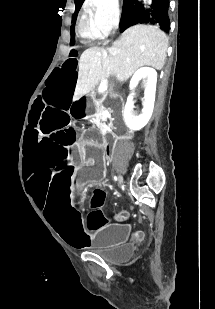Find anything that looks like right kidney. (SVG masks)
I'll return each mask as SVG.
<instances>
[{"instance_id": "obj_1", "label": "right kidney", "mask_w": 215, "mask_h": 309, "mask_svg": "<svg viewBox=\"0 0 215 309\" xmlns=\"http://www.w3.org/2000/svg\"><path fill=\"white\" fill-rule=\"evenodd\" d=\"M141 78H147L146 88L144 90L143 96L145 100L143 102L141 114H138V116H135V114H133L134 100L132 94H134V92H131V94H129L127 102L125 104V108L123 110L124 120L127 126H129V128H132V130H139V128H143V126L147 124L149 118H151V114L154 108L157 82V72L155 68H150V66H143V68H138V70L134 72L130 80L131 88L137 86Z\"/></svg>"}]
</instances>
